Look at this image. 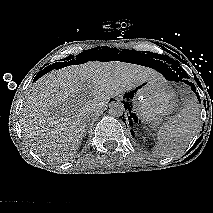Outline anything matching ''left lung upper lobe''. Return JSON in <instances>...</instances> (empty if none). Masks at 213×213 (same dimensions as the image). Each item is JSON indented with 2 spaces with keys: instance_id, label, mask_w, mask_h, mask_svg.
Here are the masks:
<instances>
[{
  "instance_id": "left-lung-upper-lobe-1",
  "label": "left lung upper lobe",
  "mask_w": 213,
  "mask_h": 213,
  "mask_svg": "<svg viewBox=\"0 0 213 213\" xmlns=\"http://www.w3.org/2000/svg\"><path fill=\"white\" fill-rule=\"evenodd\" d=\"M168 64L171 65L172 70H174V74L179 77L180 79L187 77L186 72L182 69L178 62H176L172 58H168Z\"/></svg>"
}]
</instances>
